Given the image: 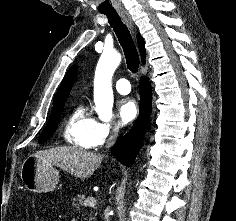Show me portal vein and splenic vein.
Returning <instances> with one entry per match:
<instances>
[{
  "mask_svg": "<svg viewBox=\"0 0 236 221\" xmlns=\"http://www.w3.org/2000/svg\"><path fill=\"white\" fill-rule=\"evenodd\" d=\"M96 204V199L94 197H88L84 201V206L94 207Z\"/></svg>",
  "mask_w": 236,
  "mask_h": 221,
  "instance_id": "1",
  "label": "portal vein and splenic vein"
}]
</instances>
